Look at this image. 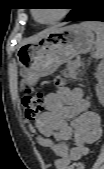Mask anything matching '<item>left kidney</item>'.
I'll list each match as a JSON object with an SVG mask.
<instances>
[{
    "instance_id": "1",
    "label": "left kidney",
    "mask_w": 104,
    "mask_h": 169,
    "mask_svg": "<svg viewBox=\"0 0 104 169\" xmlns=\"http://www.w3.org/2000/svg\"><path fill=\"white\" fill-rule=\"evenodd\" d=\"M103 63L98 66L97 69V78H98V85L96 87V94L100 102L104 101V78H103Z\"/></svg>"
}]
</instances>
